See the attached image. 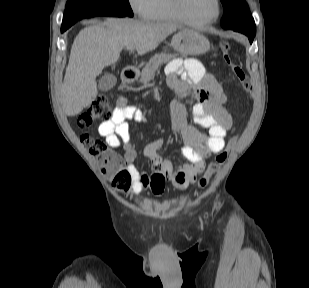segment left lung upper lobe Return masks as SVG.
<instances>
[{"instance_id": "left-lung-upper-lobe-1", "label": "left lung upper lobe", "mask_w": 309, "mask_h": 288, "mask_svg": "<svg viewBox=\"0 0 309 288\" xmlns=\"http://www.w3.org/2000/svg\"><path fill=\"white\" fill-rule=\"evenodd\" d=\"M224 14L221 25L231 27L239 22L253 19L245 0H221Z\"/></svg>"}]
</instances>
